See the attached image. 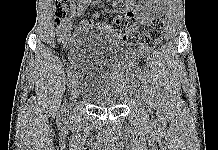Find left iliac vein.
Segmentation results:
<instances>
[{"instance_id":"1","label":"left iliac vein","mask_w":218,"mask_h":150,"mask_svg":"<svg viewBox=\"0 0 218 150\" xmlns=\"http://www.w3.org/2000/svg\"><path fill=\"white\" fill-rule=\"evenodd\" d=\"M137 79H138V81H137L138 83H137V85L135 84V85L133 86L132 91H133V94H136V95L138 96V95H139V94H138V89H139V85L142 84V83H141V82H142V81H141L142 78L139 76Z\"/></svg>"}]
</instances>
